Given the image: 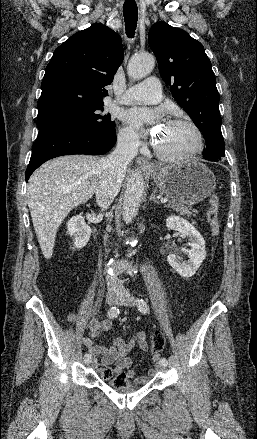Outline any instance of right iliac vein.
Segmentation results:
<instances>
[{
  "instance_id": "63e3f726",
  "label": "right iliac vein",
  "mask_w": 257,
  "mask_h": 439,
  "mask_svg": "<svg viewBox=\"0 0 257 439\" xmlns=\"http://www.w3.org/2000/svg\"><path fill=\"white\" fill-rule=\"evenodd\" d=\"M119 297H120V294L118 292L109 291L106 293L105 300H106L107 304L112 305L118 300ZM85 362L88 366L94 365V361L92 358L90 360L85 361Z\"/></svg>"
}]
</instances>
